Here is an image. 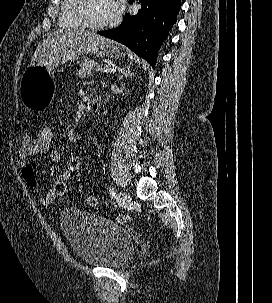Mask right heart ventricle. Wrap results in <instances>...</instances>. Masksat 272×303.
<instances>
[{
	"mask_svg": "<svg viewBox=\"0 0 272 303\" xmlns=\"http://www.w3.org/2000/svg\"><path fill=\"white\" fill-rule=\"evenodd\" d=\"M74 3L75 0H62L58 18L60 27L66 29H81L84 27L73 14Z\"/></svg>",
	"mask_w": 272,
	"mask_h": 303,
	"instance_id": "obj_1",
	"label": "right heart ventricle"
}]
</instances>
